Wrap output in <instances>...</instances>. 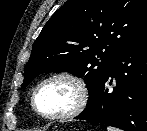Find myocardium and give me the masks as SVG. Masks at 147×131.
Wrapping results in <instances>:
<instances>
[{
  "label": "myocardium",
  "mask_w": 147,
  "mask_h": 131,
  "mask_svg": "<svg viewBox=\"0 0 147 131\" xmlns=\"http://www.w3.org/2000/svg\"><path fill=\"white\" fill-rule=\"evenodd\" d=\"M55 79H65L73 83L78 91V100L76 105L70 111L66 113L57 114V115H47L42 113L38 109L36 104V96L39 89L45 83ZM89 97H90V94H89L88 86L85 80L81 76L72 72H68V71L56 72L46 76L40 82H38V84L35 86L31 94V107L33 111L42 119H45L48 121H63V120H68L78 116L88 105Z\"/></svg>",
  "instance_id": "1"
}]
</instances>
